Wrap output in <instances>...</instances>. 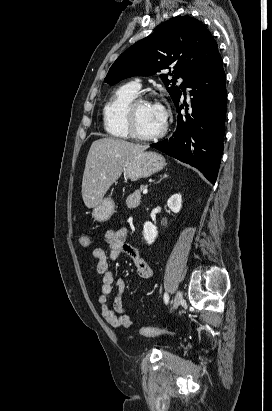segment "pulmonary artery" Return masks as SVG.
I'll use <instances>...</instances> for the list:
<instances>
[{
  "mask_svg": "<svg viewBox=\"0 0 272 411\" xmlns=\"http://www.w3.org/2000/svg\"><path fill=\"white\" fill-rule=\"evenodd\" d=\"M131 85L133 86V88L135 89V90H139L140 89V87H141V85H140V83L138 82V81H135V82H133V83H131ZM188 91V90H187Z\"/></svg>",
  "mask_w": 272,
  "mask_h": 411,
  "instance_id": "pulmonary-artery-1",
  "label": "pulmonary artery"
}]
</instances>
